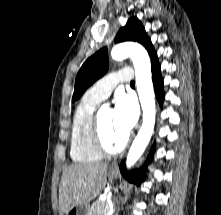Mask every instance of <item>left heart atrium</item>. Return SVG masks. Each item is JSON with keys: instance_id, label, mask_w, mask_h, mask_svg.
<instances>
[{"instance_id": "1", "label": "left heart atrium", "mask_w": 221, "mask_h": 215, "mask_svg": "<svg viewBox=\"0 0 221 215\" xmlns=\"http://www.w3.org/2000/svg\"><path fill=\"white\" fill-rule=\"evenodd\" d=\"M138 119V108L135 100L124 93H120L115 99L113 111V124L115 130L124 138H127Z\"/></svg>"}]
</instances>
